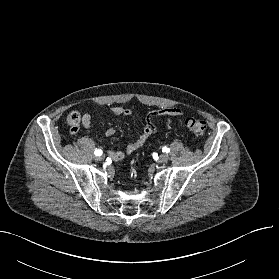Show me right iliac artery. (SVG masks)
Wrapping results in <instances>:
<instances>
[{
	"mask_svg": "<svg viewBox=\"0 0 279 279\" xmlns=\"http://www.w3.org/2000/svg\"><path fill=\"white\" fill-rule=\"evenodd\" d=\"M94 153L96 156H101L103 152L100 149H96Z\"/></svg>",
	"mask_w": 279,
	"mask_h": 279,
	"instance_id": "1",
	"label": "right iliac artery"
}]
</instances>
